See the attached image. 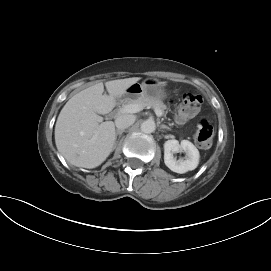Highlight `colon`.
<instances>
[{"label":"colon","mask_w":271,"mask_h":271,"mask_svg":"<svg viewBox=\"0 0 271 271\" xmlns=\"http://www.w3.org/2000/svg\"><path fill=\"white\" fill-rule=\"evenodd\" d=\"M202 104V98L195 94H185L176 114V121L179 124L186 123L189 119L194 117ZM214 136V129L211 122L203 118L196 128L195 139L198 146L202 149H209L212 145Z\"/></svg>","instance_id":"obj_1"}]
</instances>
